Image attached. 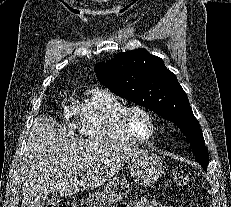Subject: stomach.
I'll use <instances>...</instances> for the list:
<instances>
[{"instance_id":"1","label":"stomach","mask_w":231,"mask_h":207,"mask_svg":"<svg viewBox=\"0 0 231 207\" xmlns=\"http://www.w3.org/2000/svg\"><path fill=\"white\" fill-rule=\"evenodd\" d=\"M129 170L135 181L144 186L156 182L163 174L162 159L155 153L140 150L129 159ZM130 192L128 180L122 176L110 179L104 190L89 194L90 207H107L123 200Z\"/></svg>"}]
</instances>
